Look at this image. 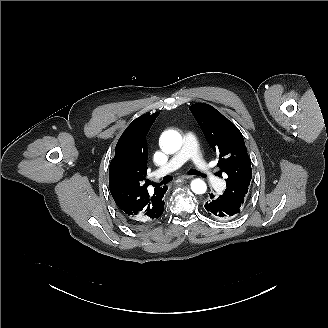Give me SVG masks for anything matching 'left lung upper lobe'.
Here are the masks:
<instances>
[{"label":"left lung upper lobe","mask_w":328,"mask_h":328,"mask_svg":"<svg viewBox=\"0 0 328 328\" xmlns=\"http://www.w3.org/2000/svg\"><path fill=\"white\" fill-rule=\"evenodd\" d=\"M190 111L208 143L219 156L218 166L228 175L226 190L220 195L241 207L252 178L251 159L240 130L211 105L196 103Z\"/></svg>","instance_id":"1"}]
</instances>
